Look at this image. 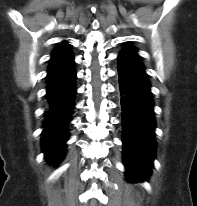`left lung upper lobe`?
Masks as SVG:
<instances>
[{
    "label": "left lung upper lobe",
    "mask_w": 197,
    "mask_h": 206,
    "mask_svg": "<svg viewBox=\"0 0 197 206\" xmlns=\"http://www.w3.org/2000/svg\"><path fill=\"white\" fill-rule=\"evenodd\" d=\"M125 46L136 51V49H134V48H133L131 45H129V44H126Z\"/></svg>",
    "instance_id": "obj_1"
}]
</instances>
